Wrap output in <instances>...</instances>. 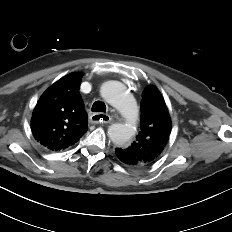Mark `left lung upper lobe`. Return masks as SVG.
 Wrapping results in <instances>:
<instances>
[{"label": "left lung upper lobe", "mask_w": 232, "mask_h": 232, "mask_svg": "<svg viewBox=\"0 0 232 232\" xmlns=\"http://www.w3.org/2000/svg\"><path fill=\"white\" fill-rule=\"evenodd\" d=\"M140 131L136 140L121 150L135 163L133 167L153 164L162 155L171 133V119L165 101L156 87L142 94Z\"/></svg>", "instance_id": "left-lung-upper-lobe-1"}]
</instances>
